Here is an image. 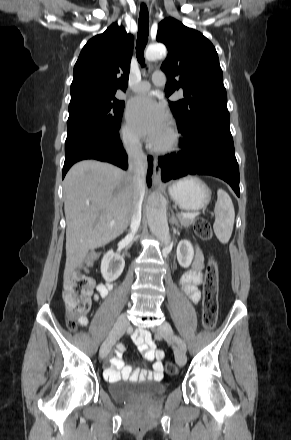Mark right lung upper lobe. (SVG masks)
Wrapping results in <instances>:
<instances>
[{
  "label": "right lung upper lobe",
  "instance_id": "obj_1",
  "mask_svg": "<svg viewBox=\"0 0 291 440\" xmlns=\"http://www.w3.org/2000/svg\"><path fill=\"white\" fill-rule=\"evenodd\" d=\"M133 43V36L116 23L90 39L74 66L71 101L115 96L118 89L125 91Z\"/></svg>",
  "mask_w": 291,
  "mask_h": 440
}]
</instances>
